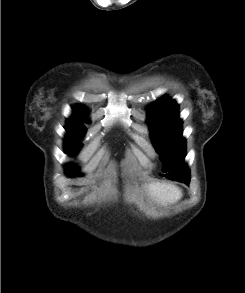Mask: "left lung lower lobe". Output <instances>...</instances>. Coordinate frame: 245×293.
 <instances>
[{
	"label": "left lung lower lobe",
	"instance_id": "1",
	"mask_svg": "<svg viewBox=\"0 0 245 293\" xmlns=\"http://www.w3.org/2000/svg\"><path fill=\"white\" fill-rule=\"evenodd\" d=\"M179 182H182V183H185V184H189L190 182V177L187 176L185 178H180V181Z\"/></svg>",
	"mask_w": 245,
	"mask_h": 293
}]
</instances>
